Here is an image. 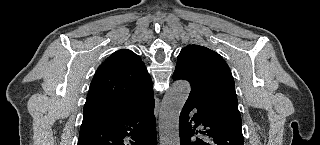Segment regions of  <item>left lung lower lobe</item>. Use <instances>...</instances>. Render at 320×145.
<instances>
[{
    "mask_svg": "<svg viewBox=\"0 0 320 145\" xmlns=\"http://www.w3.org/2000/svg\"><path fill=\"white\" fill-rule=\"evenodd\" d=\"M177 79H185L191 84V92L179 118L180 145H244L241 125L217 116L207 107L202 95L205 93L204 85L180 69H175L173 74V80ZM199 125L203 126L202 131L196 129ZM198 133L207 139L192 137Z\"/></svg>",
    "mask_w": 320,
    "mask_h": 145,
    "instance_id": "left-lung-lower-lobe-1",
    "label": "left lung lower lobe"
}]
</instances>
